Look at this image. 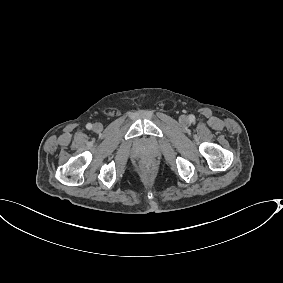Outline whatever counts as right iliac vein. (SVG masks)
Instances as JSON below:
<instances>
[{
	"mask_svg": "<svg viewBox=\"0 0 283 283\" xmlns=\"http://www.w3.org/2000/svg\"><path fill=\"white\" fill-rule=\"evenodd\" d=\"M102 128H103V126H102V124L99 123V122H97V123H95V124L93 125V131H95V132L101 131Z\"/></svg>",
	"mask_w": 283,
	"mask_h": 283,
	"instance_id": "right-iliac-vein-1",
	"label": "right iliac vein"
}]
</instances>
